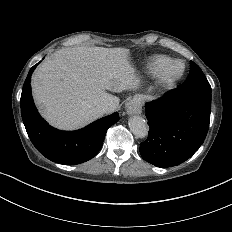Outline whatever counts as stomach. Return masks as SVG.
Listing matches in <instances>:
<instances>
[{"mask_svg":"<svg viewBox=\"0 0 232 232\" xmlns=\"http://www.w3.org/2000/svg\"><path fill=\"white\" fill-rule=\"evenodd\" d=\"M148 98L149 96H146V95H138V96H135L133 100L136 101V103H138L141 106L144 100Z\"/></svg>","mask_w":232,"mask_h":232,"instance_id":"obj_1","label":"stomach"}]
</instances>
